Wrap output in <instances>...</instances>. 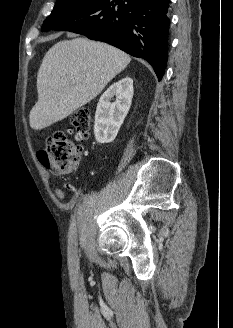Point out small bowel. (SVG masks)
I'll list each match as a JSON object with an SVG mask.
<instances>
[{"mask_svg":"<svg viewBox=\"0 0 233 328\" xmlns=\"http://www.w3.org/2000/svg\"><path fill=\"white\" fill-rule=\"evenodd\" d=\"M56 195H57V197H58L59 199H63V198H64V194H63V192H62L61 190H57V191H56Z\"/></svg>","mask_w":233,"mask_h":328,"instance_id":"c3829d8e","label":"small bowel"}]
</instances>
